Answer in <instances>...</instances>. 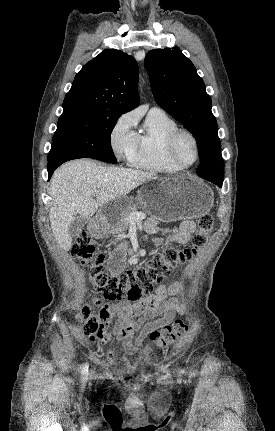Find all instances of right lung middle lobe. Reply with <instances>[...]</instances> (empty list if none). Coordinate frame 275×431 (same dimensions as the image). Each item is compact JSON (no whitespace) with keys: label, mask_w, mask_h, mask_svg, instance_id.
<instances>
[{"label":"right lung middle lobe","mask_w":275,"mask_h":431,"mask_svg":"<svg viewBox=\"0 0 275 431\" xmlns=\"http://www.w3.org/2000/svg\"><path fill=\"white\" fill-rule=\"evenodd\" d=\"M119 117V114L110 113L62 114L48 162L66 158H92L116 163L110 137Z\"/></svg>","instance_id":"obj_1"}]
</instances>
